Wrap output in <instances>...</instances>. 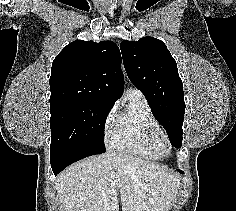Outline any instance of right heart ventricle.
Instances as JSON below:
<instances>
[{
    "label": "right heart ventricle",
    "instance_id": "1",
    "mask_svg": "<svg viewBox=\"0 0 236 211\" xmlns=\"http://www.w3.org/2000/svg\"><path fill=\"white\" fill-rule=\"evenodd\" d=\"M127 100V104L117 115L109 148L145 159H158L141 143L148 129L160 127L151 107L143 95L127 96Z\"/></svg>",
    "mask_w": 236,
    "mask_h": 211
}]
</instances>
